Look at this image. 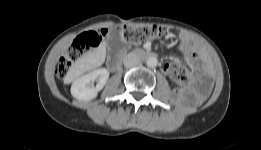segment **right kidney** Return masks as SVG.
I'll list each match as a JSON object with an SVG mask.
<instances>
[{
  "label": "right kidney",
  "mask_w": 261,
  "mask_h": 150,
  "mask_svg": "<svg viewBox=\"0 0 261 150\" xmlns=\"http://www.w3.org/2000/svg\"><path fill=\"white\" fill-rule=\"evenodd\" d=\"M109 78V71L105 68L93 70L77 80L71 86V94L78 100L89 101L97 97ZM96 82V85L94 83Z\"/></svg>",
  "instance_id": "obj_1"
}]
</instances>
